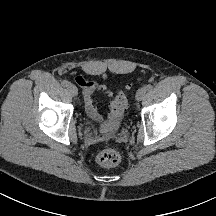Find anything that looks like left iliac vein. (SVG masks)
Wrapping results in <instances>:
<instances>
[{"mask_svg": "<svg viewBox=\"0 0 216 216\" xmlns=\"http://www.w3.org/2000/svg\"><path fill=\"white\" fill-rule=\"evenodd\" d=\"M146 88L145 87H142V88H140L138 91H137V93H136V99L138 100V101H141L143 98H144V96H145V94H146Z\"/></svg>", "mask_w": 216, "mask_h": 216, "instance_id": "1", "label": "left iliac vein"}]
</instances>
